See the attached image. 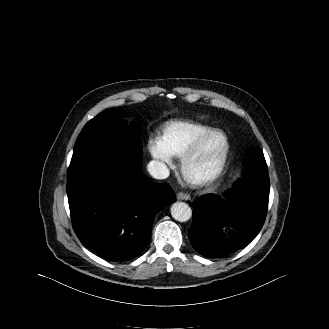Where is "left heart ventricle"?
<instances>
[{"label": "left heart ventricle", "instance_id": "1", "mask_svg": "<svg viewBox=\"0 0 329 329\" xmlns=\"http://www.w3.org/2000/svg\"><path fill=\"white\" fill-rule=\"evenodd\" d=\"M224 147V138L220 134L210 137L202 146L198 155L190 162L188 173L195 178L204 177L210 174L218 165L222 150Z\"/></svg>", "mask_w": 329, "mask_h": 329}]
</instances>
